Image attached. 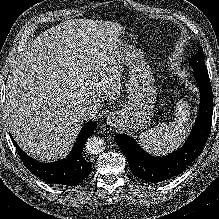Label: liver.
Wrapping results in <instances>:
<instances>
[{
	"mask_svg": "<svg viewBox=\"0 0 219 219\" xmlns=\"http://www.w3.org/2000/svg\"><path fill=\"white\" fill-rule=\"evenodd\" d=\"M123 32L111 21L74 19L36 37L13 62L6 85L9 130L40 160L72 147L84 123L80 109L99 111L120 95L118 47Z\"/></svg>",
	"mask_w": 219,
	"mask_h": 219,
	"instance_id": "6515ba94",
	"label": "liver"
}]
</instances>
